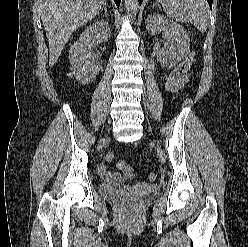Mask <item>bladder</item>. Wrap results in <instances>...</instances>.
<instances>
[{"label":"bladder","instance_id":"bladder-1","mask_svg":"<svg viewBox=\"0 0 248 247\" xmlns=\"http://www.w3.org/2000/svg\"><path fill=\"white\" fill-rule=\"evenodd\" d=\"M130 190V187H123L114 184H101L99 186V191L102 195L113 198H120L124 193L129 192Z\"/></svg>","mask_w":248,"mask_h":247}]
</instances>
